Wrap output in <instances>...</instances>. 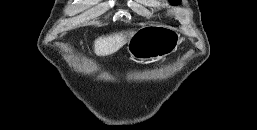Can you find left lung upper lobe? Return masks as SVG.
Returning a JSON list of instances; mask_svg holds the SVG:
<instances>
[{"mask_svg": "<svg viewBox=\"0 0 257 130\" xmlns=\"http://www.w3.org/2000/svg\"><path fill=\"white\" fill-rule=\"evenodd\" d=\"M179 2H180V0H172V1H171V3H172V4H175V5H176V4H179Z\"/></svg>", "mask_w": 257, "mask_h": 130, "instance_id": "obj_1", "label": "left lung upper lobe"}]
</instances>
